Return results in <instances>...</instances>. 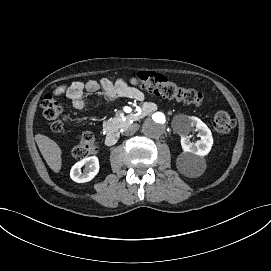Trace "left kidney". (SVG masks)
Returning <instances> with one entry per match:
<instances>
[{
	"label": "left kidney",
	"instance_id": "obj_1",
	"mask_svg": "<svg viewBox=\"0 0 271 271\" xmlns=\"http://www.w3.org/2000/svg\"><path fill=\"white\" fill-rule=\"evenodd\" d=\"M186 123L191 129L196 127L200 140L193 142L190 140L188 132L181 133V145L185 151V155H182L181 160H187L186 156H189L188 154L199 157L207 154L213 143L211 130L201 119L195 116H188Z\"/></svg>",
	"mask_w": 271,
	"mask_h": 271
}]
</instances>
